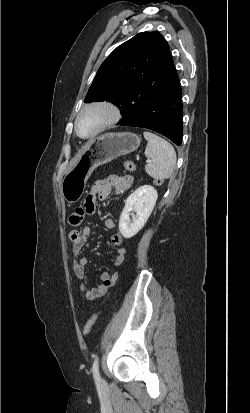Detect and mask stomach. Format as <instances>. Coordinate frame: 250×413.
<instances>
[{
    "instance_id": "1",
    "label": "stomach",
    "mask_w": 250,
    "mask_h": 413,
    "mask_svg": "<svg viewBox=\"0 0 250 413\" xmlns=\"http://www.w3.org/2000/svg\"><path fill=\"white\" fill-rule=\"evenodd\" d=\"M140 142V137L130 132L106 133L92 140L62 180L61 192L64 199L69 204L77 202L95 168L134 152Z\"/></svg>"
}]
</instances>
